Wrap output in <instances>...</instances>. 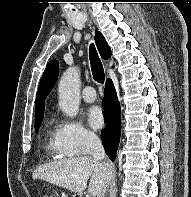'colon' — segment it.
<instances>
[{
    "mask_svg": "<svg viewBox=\"0 0 191 197\" xmlns=\"http://www.w3.org/2000/svg\"><path fill=\"white\" fill-rule=\"evenodd\" d=\"M46 197H53V196H51V195H48V196H46Z\"/></svg>",
    "mask_w": 191,
    "mask_h": 197,
    "instance_id": "obj_1",
    "label": "colon"
}]
</instances>
